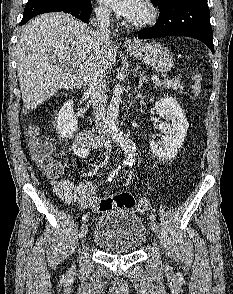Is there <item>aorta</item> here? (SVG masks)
<instances>
[{"label":"aorta","instance_id":"obj_1","mask_svg":"<svg viewBox=\"0 0 233 294\" xmlns=\"http://www.w3.org/2000/svg\"><path fill=\"white\" fill-rule=\"evenodd\" d=\"M122 91L123 88L120 84L115 85L113 89V95L107 109L106 129L109 136L123 150L125 154V162L129 165H133L136 159L135 144L131 139L123 134L118 125L119 104L121 101Z\"/></svg>","mask_w":233,"mask_h":294}]
</instances>
